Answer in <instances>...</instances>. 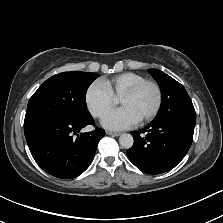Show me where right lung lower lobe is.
<instances>
[{
  "instance_id": "98d812e1",
  "label": "right lung lower lobe",
  "mask_w": 223,
  "mask_h": 223,
  "mask_svg": "<svg viewBox=\"0 0 223 223\" xmlns=\"http://www.w3.org/2000/svg\"><path fill=\"white\" fill-rule=\"evenodd\" d=\"M92 124V117L84 121L45 119L24 124V133L37 164L52 176L70 179L89 167L98 142L105 135V131L98 128L78 134L83 127Z\"/></svg>"
}]
</instances>
